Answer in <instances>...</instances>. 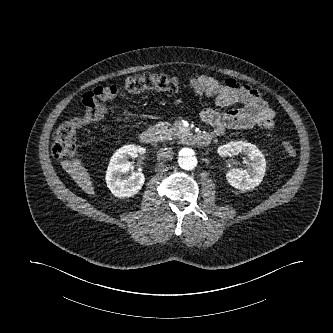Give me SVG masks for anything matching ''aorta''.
Returning a JSON list of instances; mask_svg holds the SVG:
<instances>
[{"mask_svg":"<svg viewBox=\"0 0 333 333\" xmlns=\"http://www.w3.org/2000/svg\"><path fill=\"white\" fill-rule=\"evenodd\" d=\"M178 163L182 169H194L197 166V158L194 151L188 147L182 148L178 153Z\"/></svg>","mask_w":333,"mask_h":333,"instance_id":"aorta-1","label":"aorta"}]
</instances>
